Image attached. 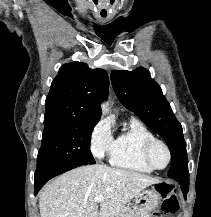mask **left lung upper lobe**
Listing matches in <instances>:
<instances>
[{
  "instance_id": "obj_1",
  "label": "left lung upper lobe",
  "mask_w": 211,
  "mask_h": 217,
  "mask_svg": "<svg viewBox=\"0 0 211 217\" xmlns=\"http://www.w3.org/2000/svg\"><path fill=\"white\" fill-rule=\"evenodd\" d=\"M111 81L121 103L159 134L169 147L172 161L168 177L189 180L182 126L149 71L142 67L132 72L113 71Z\"/></svg>"
}]
</instances>
